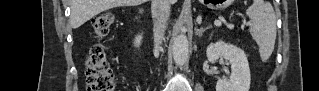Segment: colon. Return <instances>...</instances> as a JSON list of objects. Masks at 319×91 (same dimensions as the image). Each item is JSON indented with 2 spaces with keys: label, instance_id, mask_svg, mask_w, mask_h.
<instances>
[{
  "label": "colon",
  "instance_id": "1",
  "mask_svg": "<svg viewBox=\"0 0 319 91\" xmlns=\"http://www.w3.org/2000/svg\"><path fill=\"white\" fill-rule=\"evenodd\" d=\"M114 22L111 12H102L92 20L95 35L102 38L109 32ZM86 77L88 91H115L116 80L109 67L103 47L93 44L86 56Z\"/></svg>",
  "mask_w": 319,
  "mask_h": 91
}]
</instances>
